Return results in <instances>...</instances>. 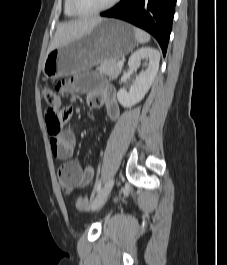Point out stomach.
I'll return each mask as SVG.
<instances>
[{
    "instance_id": "stomach-1",
    "label": "stomach",
    "mask_w": 227,
    "mask_h": 265,
    "mask_svg": "<svg viewBox=\"0 0 227 265\" xmlns=\"http://www.w3.org/2000/svg\"><path fill=\"white\" fill-rule=\"evenodd\" d=\"M136 43L131 25L103 19L90 33L50 51L43 61L42 71L49 79L70 76L104 61H118L130 53Z\"/></svg>"
}]
</instances>
